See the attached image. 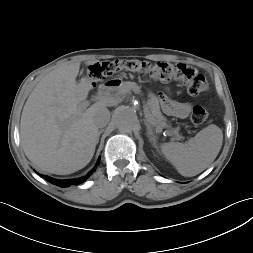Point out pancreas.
<instances>
[{
	"instance_id": "1",
	"label": "pancreas",
	"mask_w": 253,
	"mask_h": 253,
	"mask_svg": "<svg viewBox=\"0 0 253 253\" xmlns=\"http://www.w3.org/2000/svg\"><path fill=\"white\" fill-rule=\"evenodd\" d=\"M133 89L139 91L140 88L133 82H125L115 92L114 98L117 100L123 99L127 94H130ZM147 106L150 112L153 113L157 126L160 128L167 127L166 118L161 114L159 100L155 94L149 93Z\"/></svg>"
}]
</instances>
